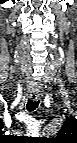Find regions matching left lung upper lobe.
I'll use <instances>...</instances> for the list:
<instances>
[{
    "label": "left lung upper lobe",
    "mask_w": 77,
    "mask_h": 143,
    "mask_svg": "<svg viewBox=\"0 0 77 143\" xmlns=\"http://www.w3.org/2000/svg\"><path fill=\"white\" fill-rule=\"evenodd\" d=\"M77 134V121L75 119H67L60 132L58 138L62 140L74 141Z\"/></svg>",
    "instance_id": "1"
}]
</instances>
